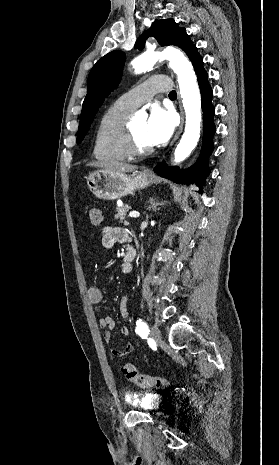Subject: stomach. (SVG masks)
<instances>
[{"instance_id": "stomach-1", "label": "stomach", "mask_w": 279, "mask_h": 465, "mask_svg": "<svg viewBox=\"0 0 279 465\" xmlns=\"http://www.w3.org/2000/svg\"><path fill=\"white\" fill-rule=\"evenodd\" d=\"M151 184V178L144 173L133 176L104 170L91 172L87 177L89 190L100 199L115 200L135 190L143 189Z\"/></svg>"}]
</instances>
